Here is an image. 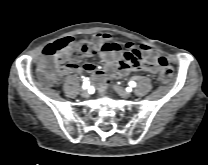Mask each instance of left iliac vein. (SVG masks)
I'll return each instance as SVG.
<instances>
[{"label":"left iliac vein","instance_id":"obj_1","mask_svg":"<svg viewBox=\"0 0 208 165\" xmlns=\"http://www.w3.org/2000/svg\"><path fill=\"white\" fill-rule=\"evenodd\" d=\"M114 88L116 89V91L118 92V94L122 97V98H129L131 97V93L127 90H125L124 88H122L119 85H115Z\"/></svg>","mask_w":208,"mask_h":165}]
</instances>
